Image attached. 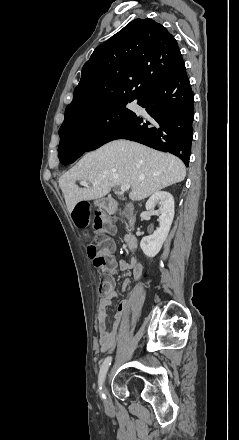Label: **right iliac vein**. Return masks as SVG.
Wrapping results in <instances>:
<instances>
[{
	"label": "right iliac vein",
	"instance_id": "63e3f726",
	"mask_svg": "<svg viewBox=\"0 0 239 440\" xmlns=\"http://www.w3.org/2000/svg\"><path fill=\"white\" fill-rule=\"evenodd\" d=\"M104 392H105V394H108V390H107L106 386L104 387Z\"/></svg>",
	"mask_w": 239,
	"mask_h": 440
}]
</instances>
